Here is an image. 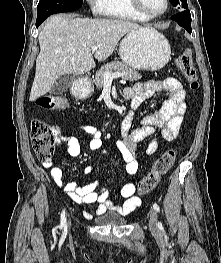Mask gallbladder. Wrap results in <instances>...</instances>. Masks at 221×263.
Segmentation results:
<instances>
[{
  "instance_id": "gallbladder-1",
  "label": "gallbladder",
  "mask_w": 221,
  "mask_h": 263,
  "mask_svg": "<svg viewBox=\"0 0 221 263\" xmlns=\"http://www.w3.org/2000/svg\"><path fill=\"white\" fill-rule=\"evenodd\" d=\"M74 80L75 75L73 74H66L60 76L52 85L50 93L53 95H61L65 93L68 90V88L72 85Z\"/></svg>"
}]
</instances>
